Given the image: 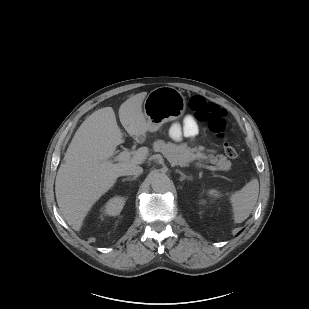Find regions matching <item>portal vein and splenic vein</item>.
I'll return each mask as SVG.
<instances>
[{
    "instance_id": "portal-vein-and-splenic-vein-1",
    "label": "portal vein and splenic vein",
    "mask_w": 309,
    "mask_h": 309,
    "mask_svg": "<svg viewBox=\"0 0 309 309\" xmlns=\"http://www.w3.org/2000/svg\"><path fill=\"white\" fill-rule=\"evenodd\" d=\"M131 158V153L129 151H122L121 153H119L115 158L114 161H126L129 160ZM204 168L211 170V171H217L218 168L215 166H209V165H203Z\"/></svg>"
}]
</instances>
